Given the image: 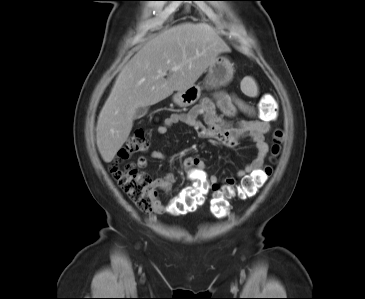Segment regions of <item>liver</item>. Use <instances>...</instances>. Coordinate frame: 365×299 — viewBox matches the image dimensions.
<instances>
[{
    "mask_svg": "<svg viewBox=\"0 0 365 299\" xmlns=\"http://www.w3.org/2000/svg\"><path fill=\"white\" fill-rule=\"evenodd\" d=\"M223 52H230L229 46L207 23H181L145 43L120 71L99 114L96 144L102 159L110 163L126 142L137 108L193 86ZM167 71V78L161 76Z\"/></svg>",
    "mask_w": 365,
    "mask_h": 299,
    "instance_id": "obj_1",
    "label": "liver"
}]
</instances>
